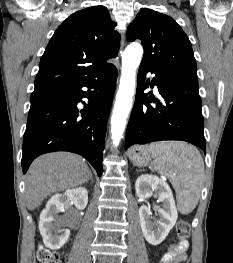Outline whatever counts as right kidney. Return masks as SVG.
Returning <instances> with one entry per match:
<instances>
[{
  "label": "right kidney",
  "mask_w": 233,
  "mask_h": 263,
  "mask_svg": "<svg viewBox=\"0 0 233 263\" xmlns=\"http://www.w3.org/2000/svg\"><path fill=\"white\" fill-rule=\"evenodd\" d=\"M71 204L78 210L85 209L88 204L87 189L79 187L53 195L40 214L39 230L45 246L51 250L60 249L69 238L70 230L61 229L65 223L57 218V214Z\"/></svg>",
  "instance_id": "right-kidney-1"
}]
</instances>
